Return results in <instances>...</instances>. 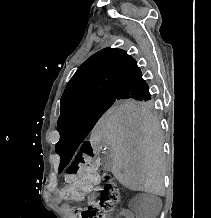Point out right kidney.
I'll return each mask as SVG.
<instances>
[{
	"label": "right kidney",
	"mask_w": 211,
	"mask_h": 218,
	"mask_svg": "<svg viewBox=\"0 0 211 218\" xmlns=\"http://www.w3.org/2000/svg\"><path fill=\"white\" fill-rule=\"evenodd\" d=\"M119 214H124V209H119Z\"/></svg>",
	"instance_id": "1"
}]
</instances>
